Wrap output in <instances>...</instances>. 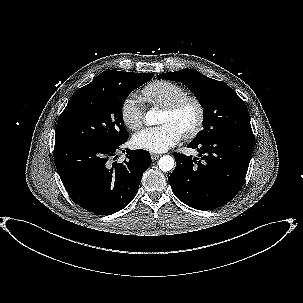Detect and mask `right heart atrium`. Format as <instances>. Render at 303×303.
<instances>
[{
	"mask_svg": "<svg viewBox=\"0 0 303 303\" xmlns=\"http://www.w3.org/2000/svg\"><path fill=\"white\" fill-rule=\"evenodd\" d=\"M120 115L125 126L131 130L139 129L145 120V106L135 93L127 95L121 106Z\"/></svg>",
	"mask_w": 303,
	"mask_h": 303,
	"instance_id": "right-heart-atrium-1",
	"label": "right heart atrium"
}]
</instances>
